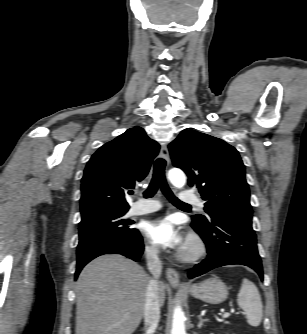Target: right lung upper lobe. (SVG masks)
Instances as JSON below:
<instances>
[{
  "label": "right lung upper lobe",
  "mask_w": 307,
  "mask_h": 334,
  "mask_svg": "<svg viewBox=\"0 0 307 334\" xmlns=\"http://www.w3.org/2000/svg\"><path fill=\"white\" fill-rule=\"evenodd\" d=\"M159 148L137 126L100 147L88 161L82 178L81 215L127 212L125 192L146 177Z\"/></svg>",
  "instance_id": "right-lung-upper-lobe-1"
}]
</instances>
